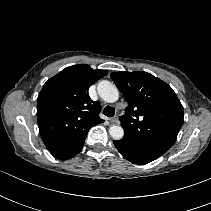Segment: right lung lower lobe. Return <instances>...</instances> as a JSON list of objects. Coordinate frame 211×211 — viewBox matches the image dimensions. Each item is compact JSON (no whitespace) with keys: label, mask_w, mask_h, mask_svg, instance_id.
<instances>
[{"label":"right lung lower lobe","mask_w":211,"mask_h":211,"mask_svg":"<svg viewBox=\"0 0 211 211\" xmlns=\"http://www.w3.org/2000/svg\"><path fill=\"white\" fill-rule=\"evenodd\" d=\"M83 144H84V141H83ZM83 144H82V146L80 147V149L77 151V153L75 155H77L81 151V149L83 147Z\"/></svg>","instance_id":"98d812e1"}]
</instances>
